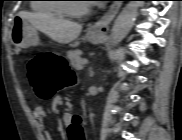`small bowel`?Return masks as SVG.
<instances>
[{"mask_svg": "<svg viewBox=\"0 0 182 140\" xmlns=\"http://www.w3.org/2000/svg\"><path fill=\"white\" fill-rule=\"evenodd\" d=\"M33 115H34V118H35L37 124L40 126V128L42 129V131L44 133L45 140H53L51 133L45 126V118H46L45 109L40 105H36L33 109ZM64 120H65V122L69 123L70 117L66 116L64 118Z\"/></svg>", "mask_w": 182, "mask_h": 140, "instance_id": "small-bowel-1", "label": "small bowel"}]
</instances>
